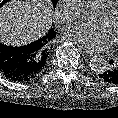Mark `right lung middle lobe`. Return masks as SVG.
<instances>
[{
  "mask_svg": "<svg viewBox=\"0 0 118 118\" xmlns=\"http://www.w3.org/2000/svg\"><path fill=\"white\" fill-rule=\"evenodd\" d=\"M7 1H9V0H3V2H2L1 5H0V7H1L4 3H6ZM51 1H52V3H53L54 8H55V6H56L58 0H51Z\"/></svg>",
  "mask_w": 118,
  "mask_h": 118,
  "instance_id": "obj_1",
  "label": "right lung middle lobe"
}]
</instances>
